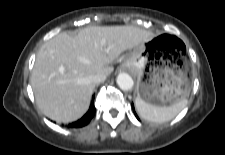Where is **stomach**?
<instances>
[{
  "instance_id": "0dacf381",
  "label": "stomach",
  "mask_w": 225,
  "mask_h": 155,
  "mask_svg": "<svg viewBox=\"0 0 225 155\" xmlns=\"http://www.w3.org/2000/svg\"><path fill=\"white\" fill-rule=\"evenodd\" d=\"M160 41L161 36H154L142 48H134L122 66L137 75V97L154 106H169L186 99L191 83L187 65L165 59Z\"/></svg>"
}]
</instances>
